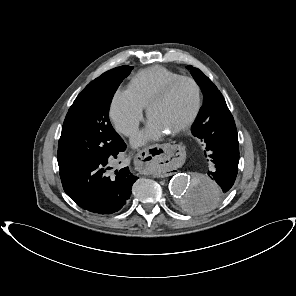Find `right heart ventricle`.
<instances>
[{
  "label": "right heart ventricle",
  "mask_w": 296,
  "mask_h": 296,
  "mask_svg": "<svg viewBox=\"0 0 296 296\" xmlns=\"http://www.w3.org/2000/svg\"><path fill=\"white\" fill-rule=\"evenodd\" d=\"M179 77V73L163 66H151L130 79L127 91L144 108L156 94Z\"/></svg>",
  "instance_id": "1"
}]
</instances>
